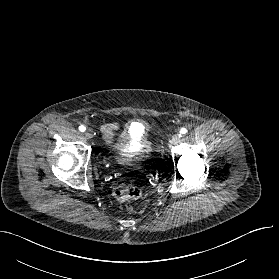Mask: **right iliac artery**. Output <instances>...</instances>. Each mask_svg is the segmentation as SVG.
Here are the masks:
<instances>
[{"label": "right iliac artery", "instance_id": "obj_1", "mask_svg": "<svg viewBox=\"0 0 279 279\" xmlns=\"http://www.w3.org/2000/svg\"><path fill=\"white\" fill-rule=\"evenodd\" d=\"M86 130L85 126L81 125L79 126V131L84 132Z\"/></svg>", "mask_w": 279, "mask_h": 279}]
</instances>
